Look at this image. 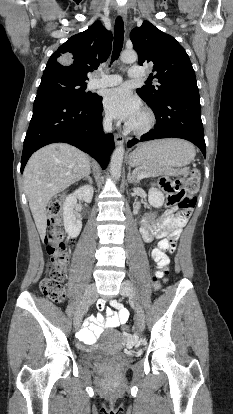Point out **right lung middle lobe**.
I'll return each mask as SVG.
<instances>
[{
	"mask_svg": "<svg viewBox=\"0 0 233 414\" xmlns=\"http://www.w3.org/2000/svg\"><path fill=\"white\" fill-rule=\"evenodd\" d=\"M86 82L60 76L42 77L37 95L51 94L75 102H89L98 95L86 92Z\"/></svg>",
	"mask_w": 233,
	"mask_h": 414,
	"instance_id": "right-lung-middle-lobe-1",
	"label": "right lung middle lobe"
}]
</instances>
